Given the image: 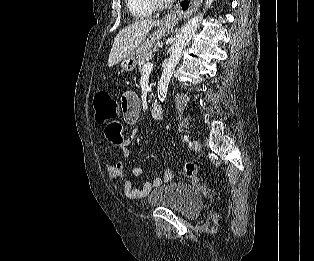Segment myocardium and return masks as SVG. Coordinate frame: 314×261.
<instances>
[{
    "mask_svg": "<svg viewBox=\"0 0 314 261\" xmlns=\"http://www.w3.org/2000/svg\"><path fill=\"white\" fill-rule=\"evenodd\" d=\"M152 6L158 10L167 9L170 6L171 1L167 0H150Z\"/></svg>",
    "mask_w": 314,
    "mask_h": 261,
    "instance_id": "myocardium-1",
    "label": "myocardium"
}]
</instances>
